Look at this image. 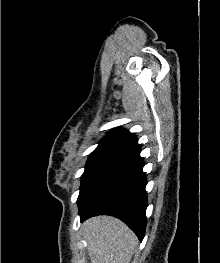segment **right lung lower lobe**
Segmentation results:
<instances>
[{
    "label": "right lung lower lobe",
    "instance_id": "1",
    "mask_svg": "<svg viewBox=\"0 0 220 263\" xmlns=\"http://www.w3.org/2000/svg\"><path fill=\"white\" fill-rule=\"evenodd\" d=\"M140 145L116 154L78 199L80 220L112 215L125 222L142 241L146 227V177Z\"/></svg>",
    "mask_w": 220,
    "mask_h": 263
}]
</instances>
